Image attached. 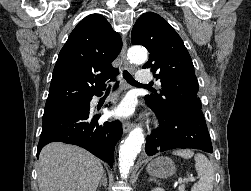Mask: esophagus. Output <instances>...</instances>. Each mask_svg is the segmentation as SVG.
<instances>
[{
	"mask_svg": "<svg viewBox=\"0 0 251 191\" xmlns=\"http://www.w3.org/2000/svg\"><path fill=\"white\" fill-rule=\"evenodd\" d=\"M126 51H127V43H126V39L124 38L123 39L122 50L120 52L121 60L123 62V65L125 66V68H127L130 71H133L134 67L128 61L127 56H126ZM133 127H134V123L124 122L123 123V132L124 133H129V131H131L133 129Z\"/></svg>",
	"mask_w": 251,
	"mask_h": 191,
	"instance_id": "34e87169",
	"label": "esophagus"
}]
</instances>
